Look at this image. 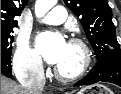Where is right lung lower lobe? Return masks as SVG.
I'll use <instances>...</instances> for the list:
<instances>
[{"instance_id": "obj_1", "label": "right lung lower lobe", "mask_w": 121, "mask_h": 94, "mask_svg": "<svg viewBox=\"0 0 121 94\" xmlns=\"http://www.w3.org/2000/svg\"><path fill=\"white\" fill-rule=\"evenodd\" d=\"M1 74L12 76L11 58L1 57Z\"/></svg>"}]
</instances>
